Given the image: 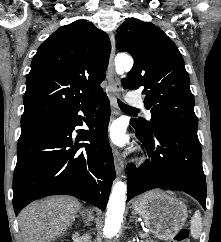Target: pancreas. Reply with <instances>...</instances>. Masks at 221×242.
Returning <instances> with one entry per match:
<instances>
[{
  "label": "pancreas",
  "instance_id": "obj_1",
  "mask_svg": "<svg viewBox=\"0 0 221 242\" xmlns=\"http://www.w3.org/2000/svg\"><path fill=\"white\" fill-rule=\"evenodd\" d=\"M141 242H155V241H153L152 239H149V240H142Z\"/></svg>",
  "mask_w": 221,
  "mask_h": 242
}]
</instances>
